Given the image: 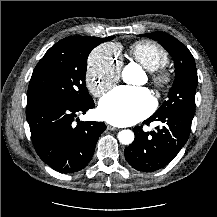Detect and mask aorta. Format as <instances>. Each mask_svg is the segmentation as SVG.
<instances>
[{
    "instance_id": "762f6f07",
    "label": "aorta",
    "mask_w": 217,
    "mask_h": 217,
    "mask_svg": "<svg viewBox=\"0 0 217 217\" xmlns=\"http://www.w3.org/2000/svg\"><path fill=\"white\" fill-rule=\"evenodd\" d=\"M141 67L135 63L128 64L122 72L123 81L127 84H136L141 73ZM118 140L124 145L134 141V133L131 130H121L118 133Z\"/></svg>"
}]
</instances>
